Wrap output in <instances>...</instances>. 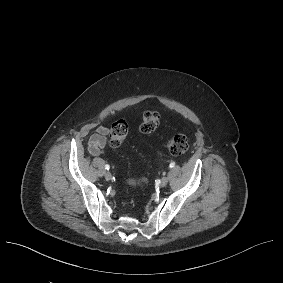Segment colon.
Masks as SVG:
<instances>
[{
  "instance_id": "1",
  "label": "colon",
  "mask_w": 283,
  "mask_h": 283,
  "mask_svg": "<svg viewBox=\"0 0 283 283\" xmlns=\"http://www.w3.org/2000/svg\"><path fill=\"white\" fill-rule=\"evenodd\" d=\"M160 123V116L155 111H147L142 117L140 131L144 134L155 132ZM129 126L125 119H119L114 122L110 129L109 144L112 147L121 146L128 135ZM167 149L175 156H181L188 150L187 138L182 134H174L167 141ZM132 187H144L146 180L144 178H132L129 181Z\"/></svg>"
}]
</instances>
